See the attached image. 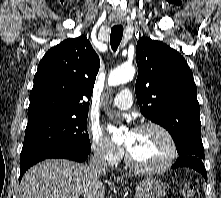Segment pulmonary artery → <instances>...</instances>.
<instances>
[{"label":"pulmonary artery","mask_w":221,"mask_h":198,"mask_svg":"<svg viewBox=\"0 0 221 198\" xmlns=\"http://www.w3.org/2000/svg\"><path fill=\"white\" fill-rule=\"evenodd\" d=\"M132 104V94L130 90L124 89L118 93L112 101L111 106L118 110H127Z\"/></svg>","instance_id":"e3ab8cb5"}]
</instances>
